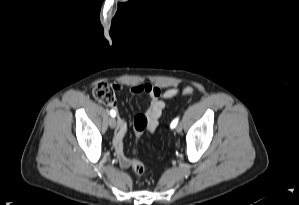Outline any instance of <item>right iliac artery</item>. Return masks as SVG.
<instances>
[{"label": "right iliac artery", "instance_id": "1", "mask_svg": "<svg viewBox=\"0 0 299 205\" xmlns=\"http://www.w3.org/2000/svg\"><path fill=\"white\" fill-rule=\"evenodd\" d=\"M110 115H111L112 117H115V116H116V112H115L114 110H111V111H110Z\"/></svg>", "mask_w": 299, "mask_h": 205}]
</instances>
